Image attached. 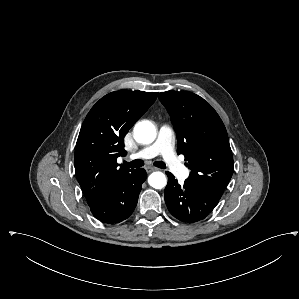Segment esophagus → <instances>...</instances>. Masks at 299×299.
Here are the masks:
<instances>
[{
	"label": "esophagus",
	"instance_id": "34e87169",
	"mask_svg": "<svg viewBox=\"0 0 299 299\" xmlns=\"http://www.w3.org/2000/svg\"><path fill=\"white\" fill-rule=\"evenodd\" d=\"M145 170H146L147 173H150V172H152V171L158 170V168H156V167H151V166H146V167H145Z\"/></svg>",
	"mask_w": 299,
	"mask_h": 299
}]
</instances>
